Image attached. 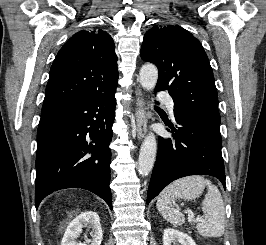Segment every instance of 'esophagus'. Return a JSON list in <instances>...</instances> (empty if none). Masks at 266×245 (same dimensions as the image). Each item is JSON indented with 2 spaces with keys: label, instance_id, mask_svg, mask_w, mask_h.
<instances>
[{
  "label": "esophagus",
  "instance_id": "esophagus-1",
  "mask_svg": "<svg viewBox=\"0 0 266 245\" xmlns=\"http://www.w3.org/2000/svg\"><path fill=\"white\" fill-rule=\"evenodd\" d=\"M136 94L139 95L137 98V108L135 112L136 117V133L139 140L143 139L147 132V114L145 108V100L142 92L137 89Z\"/></svg>",
  "mask_w": 266,
  "mask_h": 245
}]
</instances>
